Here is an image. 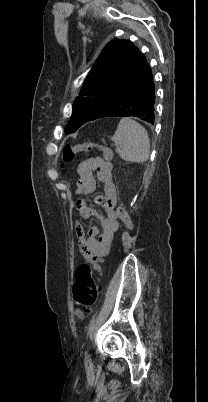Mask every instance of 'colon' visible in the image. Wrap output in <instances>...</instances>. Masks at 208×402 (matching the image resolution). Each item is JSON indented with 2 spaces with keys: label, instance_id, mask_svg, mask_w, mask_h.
<instances>
[{
  "label": "colon",
  "instance_id": "1",
  "mask_svg": "<svg viewBox=\"0 0 208 402\" xmlns=\"http://www.w3.org/2000/svg\"><path fill=\"white\" fill-rule=\"evenodd\" d=\"M94 149L100 150L106 160L112 159V151L110 149L92 142L77 145L67 143L62 149V154L65 161L72 162L80 152H90ZM116 215L127 227L131 228L133 226V222L122 202L116 205ZM99 295L100 289L99 286L95 284L90 265L87 263L79 264L76 270V281L73 285V298L78 305L81 318L96 305Z\"/></svg>",
  "mask_w": 208,
  "mask_h": 402
}]
</instances>
